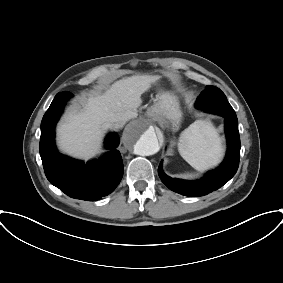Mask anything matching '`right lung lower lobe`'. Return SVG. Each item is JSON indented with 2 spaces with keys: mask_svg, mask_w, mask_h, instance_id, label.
Masks as SVG:
<instances>
[{
  "mask_svg": "<svg viewBox=\"0 0 283 283\" xmlns=\"http://www.w3.org/2000/svg\"><path fill=\"white\" fill-rule=\"evenodd\" d=\"M70 96L67 91L58 93L43 116L39 151L46 177L52 185L72 198L96 201L110 194L122 179L123 162L115 150L119 138L115 133L107 137L106 146L111 151L97 162L84 164L61 155L54 143V131Z\"/></svg>",
  "mask_w": 283,
  "mask_h": 283,
  "instance_id": "right-lung-lower-lobe-1",
  "label": "right lung lower lobe"
}]
</instances>
